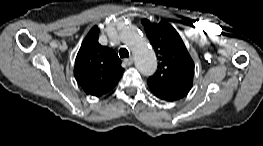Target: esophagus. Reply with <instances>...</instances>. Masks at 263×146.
Returning <instances> with one entry per match:
<instances>
[{
  "instance_id": "1",
  "label": "esophagus",
  "mask_w": 263,
  "mask_h": 146,
  "mask_svg": "<svg viewBox=\"0 0 263 146\" xmlns=\"http://www.w3.org/2000/svg\"><path fill=\"white\" fill-rule=\"evenodd\" d=\"M133 58L132 57H129L127 59H124V63L128 66L132 65L133 64Z\"/></svg>"
}]
</instances>
